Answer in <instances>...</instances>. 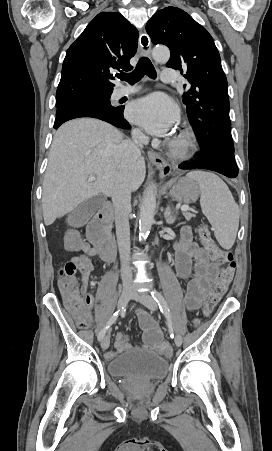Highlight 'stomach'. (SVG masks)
<instances>
[{
  "label": "stomach",
  "instance_id": "1",
  "mask_svg": "<svg viewBox=\"0 0 272 451\" xmlns=\"http://www.w3.org/2000/svg\"><path fill=\"white\" fill-rule=\"evenodd\" d=\"M164 178V176H162ZM171 198L176 202H184V204H194L200 196V188L197 182L190 178H179L172 186L169 192Z\"/></svg>",
  "mask_w": 272,
  "mask_h": 451
}]
</instances>
